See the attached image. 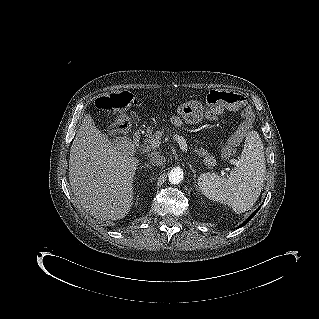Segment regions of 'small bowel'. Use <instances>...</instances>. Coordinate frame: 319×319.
Masks as SVG:
<instances>
[{
  "label": "small bowel",
  "instance_id": "1",
  "mask_svg": "<svg viewBox=\"0 0 319 319\" xmlns=\"http://www.w3.org/2000/svg\"><path fill=\"white\" fill-rule=\"evenodd\" d=\"M219 114H220V111H219V110H216V111H214L210 116H211L212 118H215V117H217ZM172 122H173V124L176 125V126H179V125L181 124V120H180V118H178V117H174V118L172 119Z\"/></svg>",
  "mask_w": 319,
  "mask_h": 319
}]
</instances>
